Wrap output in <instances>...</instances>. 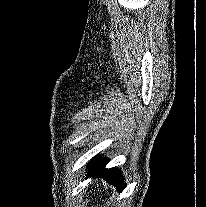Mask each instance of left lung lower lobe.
<instances>
[{"instance_id":"left-lung-lower-lobe-1","label":"left lung lower lobe","mask_w":206,"mask_h":207,"mask_svg":"<svg viewBox=\"0 0 206 207\" xmlns=\"http://www.w3.org/2000/svg\"><path fill=\"white\" fill-rule=\"evenodd\" d=\"M108 161L102 157L94 158L90 164H88L89 172L87 177L98 176L104 178L109 184L115 185L117 190L121 192L125 185L123 177L116 168L105 169Z\"/></svg>"}]
</instances>
